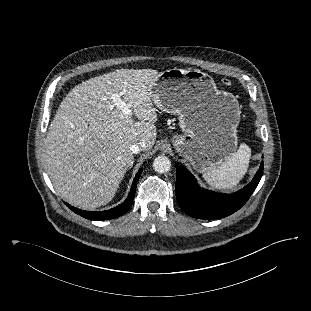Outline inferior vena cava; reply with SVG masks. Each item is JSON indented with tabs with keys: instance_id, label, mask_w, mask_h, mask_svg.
Returning a JSON list of instances; mask_svg holds the SVG:
<instances>
[{
	"instance_id": "1",
	"label": "inferior vena cava",
	"mask_w": 311,
	"mask_h": 311,
	"mask_svg": "<svg viewBox=\"0 0 311 311\" xmlns=\"http://www.w3.org/2000/svg\"><path fill=\"white\" fill-rule=\"evenodd\" d=\"M144 147H145V143L144 142H140V143H137V144H132L130 146V150L132 151V153L137 154L140 151H142L144 149Z\"/></svg>"
}]
</instances>
